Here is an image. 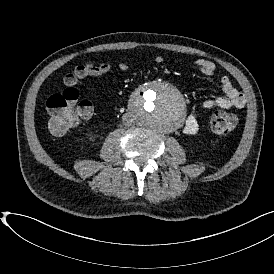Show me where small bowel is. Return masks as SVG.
Listing matches in <instances>:
<instances>
[{
    "instance_id": "obj_1",
    "label": "small bowel",
    "mask_w": 274,
    "mask_h": 274,
    "mask_svg": "<svg viewBox=\"0 0 274 274\" xmlns=\"http://www.w3.org/2000/svg\"><path fill=\"white\" fill-rule=\"evenodd\" d=\"M155 64H162L164 57L157 55L153 58ZM195 67L208 77L216 75V65L208 59H198L194 63ZM118 70L128 72L130 65L127 62L121 61L117 64ZM113 70L112 65L109 63H100L98 65H89L86 69V76L89 77H108ZM224 96L214 99L205 100L201 106L200 111H207L214 108L230 109V108H243L246 104V98L243 92L237 89L231 79L227 75H222L219 78ZM199 130V113H191L185 120L184 132L187 135H195Z\"/></svg>"
}]
</instances>
